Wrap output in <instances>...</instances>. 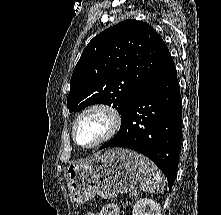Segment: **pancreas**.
Segmentation results:
<instances>
[{
	"label": "pancreas",
	"mask_w": 221,
	"mask_h": 215,
	"mask_svg": "<svg viewBox=\"0 0 221 215\" xmlns=\"http://www.w3.org/2000/svg\"><path fill=\"white\" fill-rule=\"evenodd\" d=\"M129 203H130V202H129V201H127V200L124 202V204H125V205H128Z\"/></svg>",
	"instance_id": "pancreas-1"
}]
</instances>
